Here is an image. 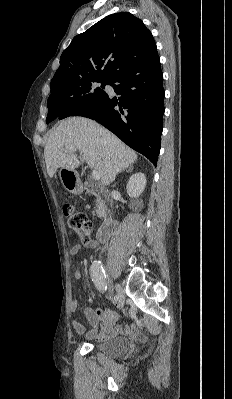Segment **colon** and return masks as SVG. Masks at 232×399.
Segmentation results:
<instances>
[{
    "mask_svg": "<svg viewBox=\"0 0 232 399\" xmlns=\"http://www.w3.org/2000/svg\"><path fill=\"white\" fill-rule=\"evenodd\" d=\"M63 207V213H65L64 220H68V228L77 232V236L82 244H89V228H84V231H82V227H92V222H86V220H88V215H76V203L73 202V198L69 196L65 197Z\"/></svg>",
    "mask_w": 232,
    "mask_h": 399,
    "instance_id": "5ec220e1",
    "label": "colon"
}]
</instances>
